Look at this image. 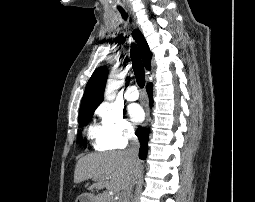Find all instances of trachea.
Masks as SVG:
<instances>
[{
    "label": "trachea",
    "mask_w": 255,
    "mask_h": 202,
    "mask_svg": "<svg viewBox=\"0 0 255 202\" xmlns=\"http://www.w3.org/2000/svg\"><path fill=\"white\" fill-rule=\"evenodd\" d=\"M124 19L127 18V13L123 9H119ZM131 60H132V67L134 70L135 78L140 88H143L145 85V71L144 67L138 52L137 47L133 44L131 47Z\"/></svg>",
    "instance_id": "trachea-1"
}]
</instances>
